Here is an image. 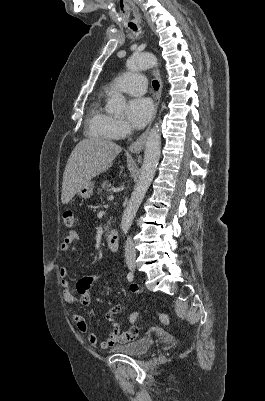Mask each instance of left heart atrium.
I'll return each instance as SVG.
<instances>
[{
	"instance_id": "39dd6f15",
	"label": "left heart atrium",
	"mask_w": 265,
	"mask_h": 401,
	"mask_svg": "<svg viewBox=\"0 0 265 401\" xmlns=\"http://www.w3.org/2000/svg\"><path fill=\"white\" fill-rule=\"evenodd\" d=\"M126 114L131 125L142 128L152 117V103L145 98L136 97L127 103Z\"/></svg>"
}]
</instances>
